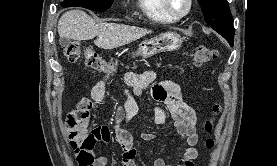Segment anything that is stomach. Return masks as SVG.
Here are the masks:
<instances>
[{
	"label": "stomach",
	"mask_w": 277,
	"mask_h": 166,
	"mask_svg": "<svg viewBox=\"0 0 277 166\" xmlns=\"http://www.w3.org/2000/svg\"><path fill=\"white\" fill-rule=\"evenodd\" d=\"M182 44V38L175 32H165L160 35L142 41L138 50L132 54V57L149 58L157 53L164 51H174L180 48Z\"/></svg>",
	"instance_id": "1"
}]
</instances>
